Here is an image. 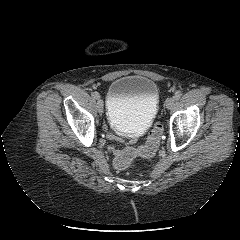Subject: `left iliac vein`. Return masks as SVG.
Segmentation results:
<instances>
[{
    "mask_svg": "<svg viewBox=\"0 0 240 240\" xmlns=\"http://www.w3.org/2000/svg\"><path fill=\"white\" fill-rule=\"evenodd\" d=\"M165 104H166L167 109L171 110L175 104V99L173 97H169V98H167Z\"/></svg>",
    "mask_w": 240,
    "mask_h": 240,
    "instance_id": "obj_1",
    "label": "left iliac vein"
}]
</instances>
